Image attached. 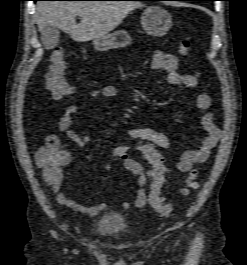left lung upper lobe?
<instances>
[{
    "label": "left lung upper lobe",
    "instance_id": "5c2ea615",
    "mask_svg": "<svg viewBox=\"0 0 247 265\" xmlns=\"http://www.w3.org/2000/svg\"><path fill=\"white\" fill-rule=\"evenodd\" d=\"M202 1H214V0H202Z\"/></svg>",
    "mask_w": 247,
    "mask_h": 265
}]
</instances>
